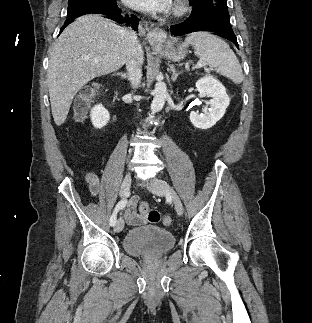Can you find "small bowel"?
I'll return each mask as SVG.
<instances>
[{
    "instance_id": "small-bowel-1",
    "label": "small bowel",
    "mask_w": 312,
    "mask_h": 323,
    "mask_svg": "<svg viewBox=\"0 0 312 323\" xmlns=\"http://www.w3.org/2000/svg\"><path fill=\"white\" fill-rule=\"evenodd\" d=\"M85 181L88 184L90 193L93 196H97L100 192L99 177L94 173H87ZM137 203L138 199L136 197L131 198L124 210V218L129 226H141L147 222L146 217L135 210Z\"/></svg>"
}]
</instances>
